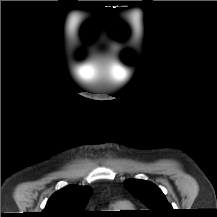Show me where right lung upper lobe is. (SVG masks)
Wrapping results in <instances>:
<instances>
[{"label":"right lung upper lobe","instance_id":"cb5924a9","mask_svg":"<svg viewBox=\"0 0 217 217\" xmlns=\"http://www.w3.org/2000/svg\"><path fill=\"white\" fill-rule=\"evenodd\" d=\"M92 188L88 186L68 185L55 192L48 200L39 217H89L84 211Z\"/></svg>","mask_w":217,"mask_h":217}]
</instances>
